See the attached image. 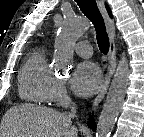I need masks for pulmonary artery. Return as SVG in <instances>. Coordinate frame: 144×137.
I'll return each instance as SVG.
<instances>
[{
    "instance_id": "1",
    "label": "pulmonary artery",
    "mask_w": 144,
    "mask_h": 137,
    "mask_svg": "<svg viewBox=\"0 0 144 137\" xmlns=\"http://www.w3.org/2000/svg\"><path fill=\"white\" fill-rule=\"evenodd\" d=\"M74 50L79 56L83 58H89L92 55V47L87 41H79L74 46Z\"/></svg>"
}]
</instances>
